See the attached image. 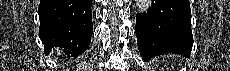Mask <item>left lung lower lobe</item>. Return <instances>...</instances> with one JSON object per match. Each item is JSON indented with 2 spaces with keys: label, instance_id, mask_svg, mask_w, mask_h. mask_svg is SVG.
Masks as SVG:
<instances>
[{
  "label": "left lung lower lobe",
  "instance_id": "left-lung-lower-lobe-1",
  "mask_svg": "<svg viewBox=\"0 0 230 71\" xmlns=\"http://www.w3.org/2000/svg\"><path fill=\"white\" fill-rule=\"evenodd\" d=\"M137 45L145 61L162 53L189 57L193 46L189 0H152L136 15Z\"/></svg>",
  "mask_w": 230,
  "mask_h": 71
}]
</instances>
